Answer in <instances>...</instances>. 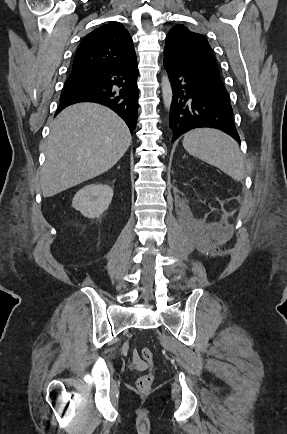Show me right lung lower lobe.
<instances>
[{
  "label": "right lung lower lobe",
  "instance_id": "1",
  "mask_svg": "<svg viewBox=\"0 0 287 434\" xmlns=\"http://www.w3.org/2000/svg\"><path fill=\"white\" fill-rule=\"evenodd\" d=\"M137 77V60L72 73L64 84L56 115L77 102H96L115 111L132 133L138 114Z\"/></svg>",
  "mask_w": 287,
  "mask_h": 434
}]
</instances>
